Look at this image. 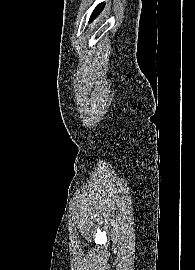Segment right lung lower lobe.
I'll return each mask as SVG.
<instances>
[{
	"instance_id": "1",
	"label": "right lung lower lobe",
	"mask_w": 195,
	"mask_h": 270,
	"mask_svg": "<svg viewBox=\"0 0 195 270\" xmlns=\"http://www.w3.org/2000/svg\"><path fill=\"white\" fill-rule=\"evenodd\" d=\"M103 7H104V4L101 3L95 8V10L93 11V13L91 15L90 21L92 19H94L99 14V12H101L103 10Z\"/></svg>"
}]
</instances>
